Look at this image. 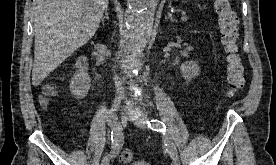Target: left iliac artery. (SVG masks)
Wrapping results in <instances>:
<instances>
[{
    "label": "left iliac artery",
    "instance_id": "44dca946",
    "mask_svg": "<svg viewBox=\"0 0 276 165\" xmlns=\"http://www.w3.org/2000/svg\"><path fill=\"white\" fill-rule=\"evenodd\" d=\"M148 123V127L154 131L161 132L163 134H166V126L163 122L157 119H153ZM165 146L167 148L168 153L170 156L173 157H178L177 149L175 147V144L172 142L171 138L166 136L165 137Z\"/></svg>",
    "mask_w": 276,
    "mask_h": 165
}]
</instances>
